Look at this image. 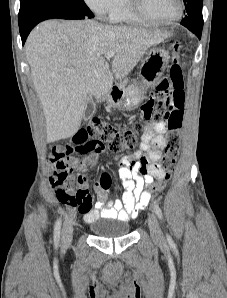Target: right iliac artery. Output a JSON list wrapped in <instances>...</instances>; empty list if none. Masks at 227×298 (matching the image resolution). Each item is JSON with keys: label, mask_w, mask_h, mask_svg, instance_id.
I'll return each instance as SVG.
<instances>
[{"label": "right iliac artery", "mask_w": 227, "mask_h": 298, "mask_svg": "<svg viewBox=\"0 0 227 298\" xmlns=\"http://www.w3.org/2000/svg\"><path fill=\"white\" fill-rule=\"evenodd\" d=\"M60 230H61V219L59 218L55 224L54 228V243L55 247H58L59 239H60Z\"/></svg>", "instance_id": "right-iliac-artery-1"}]
</instances>
